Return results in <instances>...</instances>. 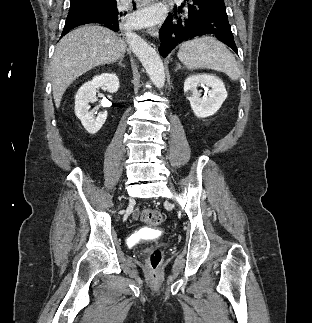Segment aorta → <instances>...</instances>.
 Wrapping results in <instances>:
<instances>
[{"instance_id":"1","label":"aorta","mask_w":312,"mask_h":323,"mask_svg":"<svg viewBox=\"0 0 312 323\" xmlns=\"http://www.w3.org/2000/svg\"><path fill=\"white\" fill-rule=\"evenodd\" d=\"M126 36L133 54L137 56L142 66H144L151 82H153L156 88H163L165 84V70L157 52L145 40L137 36L135 32H128L127 30Z\"/></svg>"}]
</instances>
